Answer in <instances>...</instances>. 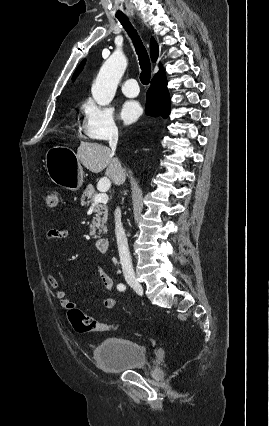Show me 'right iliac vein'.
<instances>
[{
    "instance_id": "63e3f726",
    "label": "right iliac vein",
    "mask_w": 269,
    "mask_h": 426,
    "mask_svg": "<svg viewBox=\"0 0 269 426\" xmlns=\"http://www.w3.org/2000/svg\"><path fill=\"white\" fill-rule=\"evenodd\" d=\"M127 283L138 293V294H142L143 293V288L141 286V284L137 281V279L135 277H127Z\"/></svg>"
}]
</instances>
